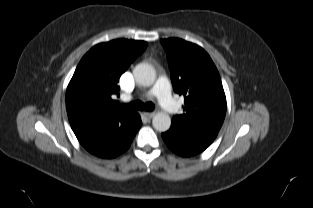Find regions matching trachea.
Instances as JSON below:
<instances>
[{
  "instance_id": "obj_1",
  "label": "trachea",
  "mask_w": 313,
  "mask_h": 208,
  "mask_svg": "<svg viewBox=\"0 0 313 208\" xmlns=\"http://www.w3.org/2000/svg\"><path fill=\"white\" fill-rule=\"evenodd\" d=\"M130 108L136 109V110H146V111H153L155 106L152 102L142 103L141 101H133L128 104Z\"/></svg>"
}]
</instances>
